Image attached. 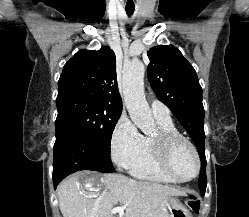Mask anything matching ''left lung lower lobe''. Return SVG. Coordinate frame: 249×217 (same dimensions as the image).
<instances>
[{
    "label": "left lung lower lobe",
    "mask_w": 249,
    "mask_h": 217,
    "mask_svg": "<svg viewBox=\"0 0 249 217\" xmlns=\"http://www.w3.org/2000/svg\"><path fill=\"white\" fill-rule=\"evenodd\" d=\"M199 185L201 193L204 195L207 185V179H206V168H201L200 177H199Z\"/></svg>",
    "instance_id": "obj_1"
}]
</instances>
